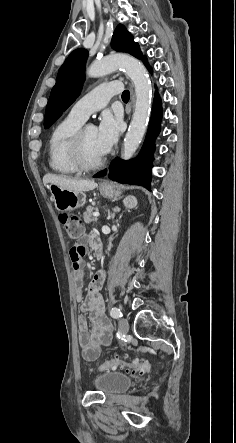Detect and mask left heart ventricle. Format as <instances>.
I'll list each match as a JSON object with an SVG mask.
<instances>
[{"instance_id": "left-heart-ventricle-1", "label": "left heart ventricle", "mask_w": 236, "mask_h": 443, "mask_svg": "<svg viewBox=\"0 0 236 443\" xmlns=\"http://www.w3.org/2000/svg\"><path fill=\"white\" fill-rule=\"evenodd\" d=\"M83 152L88 162H93L103 155L98 146L96 128L92 125H89L84 132Z\"/></svg>"}]
</instances>
